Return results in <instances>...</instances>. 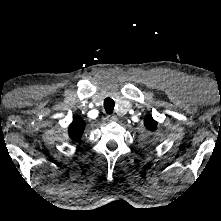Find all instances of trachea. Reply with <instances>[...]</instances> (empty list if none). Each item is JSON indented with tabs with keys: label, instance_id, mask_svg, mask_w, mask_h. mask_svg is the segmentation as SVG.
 Segmentation results:
<instances>
[{
	"label": "trachea",
	"instance_id": "3493384b",
	"mask_svg": "<svg viewBox=\"0 0 221 221\" xmlns=\"http://www.w3.org/2000/svg\"><path fill=\"white\" fill-rule=\"evenodd\" d=\"M115 107L114 100L110 97L104 100V109L107 114H112Z\"/></svg>",
	"mask_w": 221,
	"mask_h": 221
}]
</instances>
